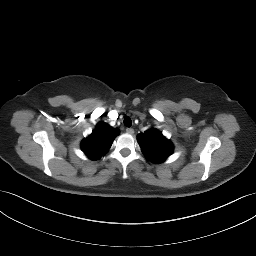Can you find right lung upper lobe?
Returning <instances> with one entry per match:
<instances>
[{
	"mask_svg": "<svg viewBox=\"0 0 256 256\" xmlns=\"http://www.w3.org/2000/svg\"><path fill=\"white\" fill-rule=\"evenodd\" d=\"M118 134V129L99 122L91 135L82 141L81 148L90 159H98L109 150Z\"/></svg>",
	"mask_w": 256,
	"mask_h": 256,
	"instance_id": "1",
	"label": "right lung upper lobe"
}]
</instances>
